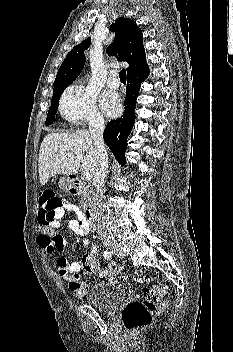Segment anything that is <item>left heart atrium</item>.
Listing matches in <instances>:
<instances>
[{
	"mask_svg": "<svg viewBox=\"0 0 233 352\" xmlns=\"http://www.w3.org/2000/svg\"><path fill=\"white\" fill-rule=\"evenodd\" d=\"M101 105L109 115H115L120 108L119 99L114 93H105L101 98Z\"/></svg>",
	"mask_w": 233,
	"mask_h": 352,
	"instance_id": "left-heart-atrium-1",
	"label": "left heart atrium"
}]
</instances>
